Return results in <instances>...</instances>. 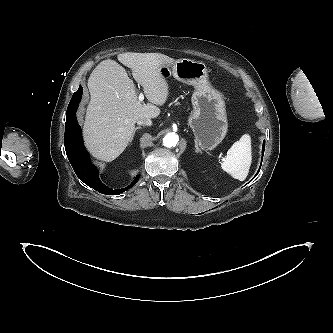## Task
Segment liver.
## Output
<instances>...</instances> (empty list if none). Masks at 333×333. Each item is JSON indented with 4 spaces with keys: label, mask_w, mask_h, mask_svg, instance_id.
<instances>
[{
    "label": "liver",
    "mask_w": 333,
    "mask_h": 333,
    "mask_svg": "<svg viewBox=\"0 0 333 333\" xmlns=\"http://www.w3.org/2000/svg\"><path fill=\"white\" fill-rule=\"evenodd\" d=\"M117 59L132 70L150 103L138 101L134 83L116 61L103 60L92 71L88 79L91 100L86 110L84 139L90 153L105 162L116 159L125 150L139 118L159 116L158 106L169 95L168 83L160 75L159 67L176 61L161 53L132 52L119 54Z\"/></svg>",
    "instance_id": "obj_1"
}]
</instances>
